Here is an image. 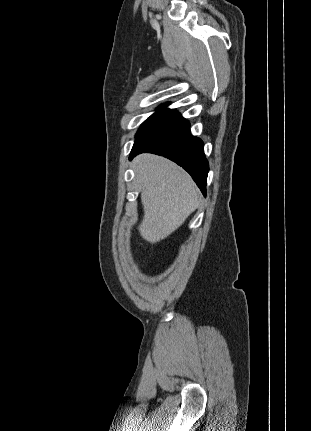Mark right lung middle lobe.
Returning a JSON list of instances; mask_svg holds the SVG:
<instances>
[{
	"mask_svg": "<svg viewBox=\"0 0 311 431\" xmlns=\"http://www.w3.org/2000/svg\"><path fill=\"white\" fill-rule=\"evenodd\" d=\"M168 105V103L163 104L161 106H159V109L156 113H154L153 115H151L147 120H145L142 125L140 126L139 130L136 133V136L146 127L148 126L152 121H154L156 118H158L164 111H166L167 109H164L166 106Z\"/></svg>",
	"mask_w": 311,
	"mask_h": 431,
	"instance_id": "obj_1",
	"label": "right lung middle lobe"
}]
</instances>
